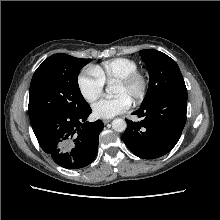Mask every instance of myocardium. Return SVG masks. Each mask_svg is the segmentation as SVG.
<instances>
[{"instance_id":"f54148a6","label":"myocardium","mask_w":220,"mask_h":220,"mask_svg":"<svg viewBox=\"0 0 220 220\" xmlns=\"http://www.w3.org/2000/svg\"><path fill=\"white\" fill-rule=\"evenodd\" d=\"M115 84L123 87H132L137 85L138 90L134 95V97L132 98V101L134 103H138L141 102L147 95L148 87H149V79L144 72L140 70H136L128 74L124 78L118 80Z\"/></svg>"}]
</instances>
